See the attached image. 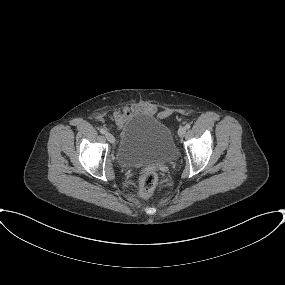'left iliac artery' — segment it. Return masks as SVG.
<instances>
[{
    "label": "left iliac artery",
    "instance_id": "1",
    "mask_svg": "<svg viewBox=\"0 0 285 285\" xmlns=\"http://www.w3.org/2000/svg\"><path fill=\"white\" fill-rule=\"evenodd\" d=\"M190 127H191L190 124H186V125H185V128H186V129H189Z\"/></svg>",
    "mask_w": 285,
    "mask_h": 285
}]
</instances>
